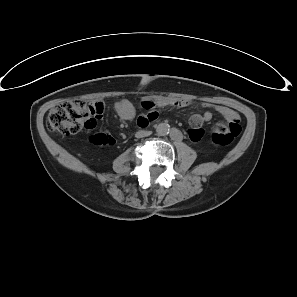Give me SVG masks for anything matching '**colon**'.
Listing matches in <instances>:
<instances>
[{"mask_svg":"<svg viewBox=\"0 0 297 297\" xmlns=\"http://www.w3.org/2000/svg\"><path fill=\"white\" fill-rule=\"evenodd\" d=\"M104 112V105L99 101L72 100L54 107L48 114L49 130L61 134H76L81 130L96 127ZM241 132L240 118L217 122L211 129V137L218 145H228ZM90 141L98 146L111 145L113 138L102 132L91 136Z\"/></svg>","mask_w":297,"mask_h":297,"instance_id":"1","label":"colon"}]
</instances>
